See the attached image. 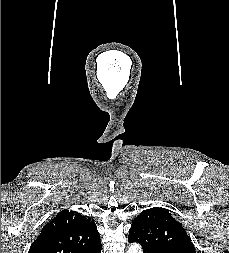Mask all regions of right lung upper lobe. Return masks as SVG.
<instances>
[{"label":"right lung upper lobe","mask_w":229,"mask_h":253,"mask_svg":"<svg viewBox=\"0 0 229 253\" xmlns=\"http://www.w3.org/2000/svg\"><path fill=\"white\" fill-rule=\"evenodd\" d=\"M99 245L94 220L63 210L42 228L28 253H88Z\"/></svg>","instance_id":"right-lung-upper-lobe-1"}]
</instances>
